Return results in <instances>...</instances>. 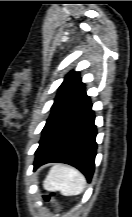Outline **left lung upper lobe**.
I'll return each mask as SVG.
<instances>
[{"mask_svg": "<svg viewBox=\"0 0 132 217\" xmlns=\"http://www.w3.org/2000/svg\"><path fill=\"white\" fill-rule=\"evenodd\" d=\"M84 90L85 86L79 77V72H69L59 88L54 104L51 108L52 113L48 118L43 131L67 106L83 94Z\"/></svg>", "mask_w": 132, "mask_h": 217, "instance_id": "1", "label": "left lung upper lobe"}]
</instances>
